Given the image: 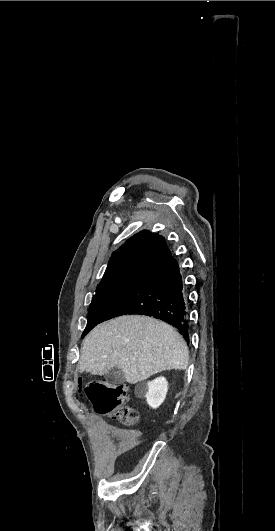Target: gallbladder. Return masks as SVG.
I'll use <instances>...</instances> for the list:
<instances>
[{
    "label": "gallbladder",
    "instance_id": "1",
    "mask_svg": "<svg viewBox=\"0 0 275 531\" xmlns=\"http://www.w3.org/2000/svg\"><path fill=\"white\" fill-rule=\"evenodd\" d=\"M105 381L110 383V385H123L126 379L123 371H121L119 367H113V369H110L109 373H106Z\"/></svg>",
    "mask_w": 275,
    "mask_h": 531
}]
</instances>
